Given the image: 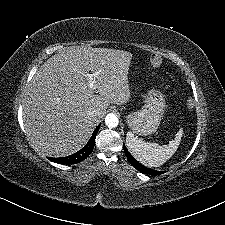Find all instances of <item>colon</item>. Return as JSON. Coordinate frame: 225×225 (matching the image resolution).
Here are the masks:
<instances>
[{
  "instance_id": "5ec220e1",
  "label": "colon",
  "mask_w": 225,
  "mask_h": 225,
  "mask_svg": "<svg viewBox=\"0 0 225 225\" xmlns=\"http://www.w3.org/2000/svg\"><path fill=\"white\" fill-rule=\"evenodd\" d=\"M150 63L153 65V66H159L161 65L162 63V59L157 56V55H153L151 58H150Z\"/></svg>"
}]
</instances>
